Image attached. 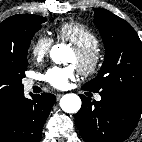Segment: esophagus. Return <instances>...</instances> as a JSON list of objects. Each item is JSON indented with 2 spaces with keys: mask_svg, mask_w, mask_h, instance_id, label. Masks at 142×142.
Masks as SVG:
<instances>
[{
  "mask_svg": "<svg viewBox=\"0 0 142 142\" xmlns=\"http://www.w3.org/2000/svg\"><path fill=\"white\" fill-rule=\"evenodd\" d=\"M62 95H63V94H61V93L56 94L57 100H60V98L62 97Z\"/></svg>",
  "mask_w": 142,
  "mask_h": 142,
  "instance_id": "esophagus-1",
  "label": "esophagus"
}]
</instances>
